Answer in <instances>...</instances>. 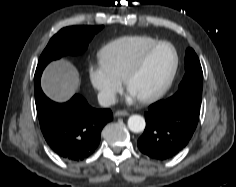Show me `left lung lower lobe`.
Wrapping results in <instances>:
<instances>
[{
	"label": "left lung lower lobe",
	"instance_id": "1",
	"mask_svg": "<svg viewBox=\"0 0 236 187\" xmlns=\"http://www.w3.org/2000/svg\"><path fill=\"white\" fill-rule=\"evenodd\" d=\"M200 106L179 100L158 101L145 113L146 128L138 148L148 157L165 160L183 149L192 137L199 119Z\"/></svg>",
	"mask_w": 236,
	"mask_h": 187
}]
</instances>
